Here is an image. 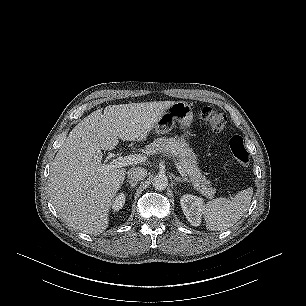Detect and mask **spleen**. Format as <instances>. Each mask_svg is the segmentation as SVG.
Instances as JSON below:
<instances>
[{"instance_id":"spleen-1","label":"spleen","mask_w":306,"mask_h":306,"mask_svg":"<svg viewBox=\"0 0 306 306\" xmlns=\"http://www.w3.org/2000/svg\"><path fill=\"white\" fill-rule=\"evenodd\" d=\"M253 195L249 187L238 192L234 198H216L201 208L206 228L211 231H222L233 226L248 210Z\"/></svg>"}]
</instances>
